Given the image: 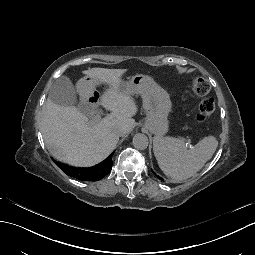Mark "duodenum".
Masks as SVG:
<instances>
[{"instance_id": "obj_1", "label": "duodenum", "mask_w": 255, "mask_h": 255, "mask_svg": "<svg viewBox=\"0 0 255 255\" xmlns=\"http://www.w3.org/2000/svg\"><path fill=\"white\" fill-rule=\"evenodd\" d=\"M79 93L84 104L90 109H96L99 106L100 95L89 83H82L79 86Z\"/></svg>"}]
</instances>
